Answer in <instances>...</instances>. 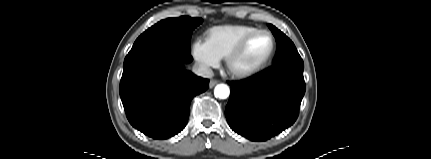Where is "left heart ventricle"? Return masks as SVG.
<instances>
[{"label": "left heart ventricle", "instance_id": "obj_1", "mask_svg": "<svg viewBox=\"0 0 431 159\" xmlns=\"http://www.w3.org/2000/svg\"><path fill=\"white\" fill-rule=\"evenodd\" d=\"M272 49V40L266 34L254 37L247 45L241 56L235 61L236 70H247L259 65L269 55Z\"/></svg>", "mask_w": 431, "mask_h": 159}]
</instances>
